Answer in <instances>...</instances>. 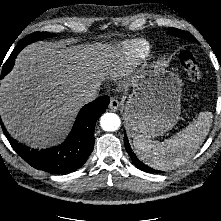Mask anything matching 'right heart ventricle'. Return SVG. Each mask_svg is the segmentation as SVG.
<instances>
[{
    "mask_svg": "<svg viewBox=\"0 0 221 221\" xmlns=\"http://www.w3.org/2000/svg\"><path fill=\"white\" fill-rule=\"evenodd\" d=\"M144 40L124 41L112 47L103 60V71L112 80H119L131 72L149 54Z\"/></svg>",
    "mask_w": 221,
    "mask_h": 221,
    "instance_id": "e07e8e85",
    "label": "right heart ventricle"
}]
</instances>
